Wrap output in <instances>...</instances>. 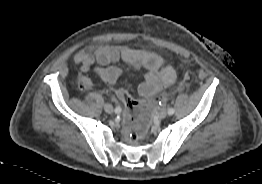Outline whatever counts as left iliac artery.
<instances>
[{
    "instance_id": "1",
    "label": "left iliac artery",
    "mask_w": 262,
    "mask_h": 184,
    "mask_svg": "<svg viewBox=\"0 0 262 184\" xmlns=\"http://www.w3.org/2000/svg\"><path fill=\"white\" fill-rule=\"evenodd\" d=\"M174 112H175V111H174V109H173L172 107L168 109V114H169V115H173Z\"/></svg>"
}]
</instances>
